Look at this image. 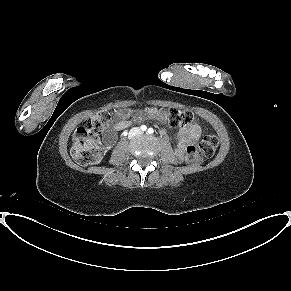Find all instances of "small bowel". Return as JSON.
Instances as JSON below:
<instances>
[{"mask_svg":"<svg viewBox=\"0 0 291 291\" xmlns=\"http://www.w3.org/2000/svg\"><path fill=\"white\" fill-rule=\"evenodd\" d=\"M145 115L156 119L162 118L159 111L155 108H149L145 112L131 111L129 109H121L116 111L115 122L113 123L111 130L105 134L106 143L111 144L115 139V133L127 128L130 124V119L138 121ZM201 132L202 129L198 123H193L182 127L179 130L177 137V154L181 155L187 145L196 142L199 139Z\"/></svg>","mask_w":291,"mask_h":291,"instance_id":"obj_1","label":"small bowel"}]
</instances>
